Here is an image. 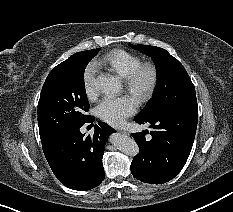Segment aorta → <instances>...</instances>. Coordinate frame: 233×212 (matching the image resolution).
Returning a JSON list of instances; mask_svg holds the SVG:
<instances>
[{
	"mask_svg": "<svg viewBox=\"0 0 233 212\" xmlns=\"http://www.w3.org/2000/svg\"><path fill=\"white\" fill-rule=\"evenodd\" d=\"M120 81L108 74H100L95 82V88L99 92L116 94L120 90ZM110 142L121 152L129 156L139 154V146L135 140L123 134H113Z\"/></svg>",
	"mask_w": 233,
	"mask_h": 212,
	"instance_id": "obj_1",
	"label": "aorta"
}]
</instances>
